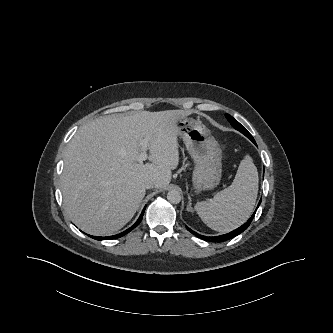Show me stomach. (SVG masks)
<instances>
[{"mask_svg": "<svg viewBox=\"0 0 333 333\" xmlns=\"http://www.w3.org/2000/svg\"><path fill=\"white\" fill-rule=\"evenodd\" d=\"M177 127L178 135L183 139L195 164L194 189L201 192L215 188L222 175L219 143L200 120L184 117L178 120Z\"/></svg>", "mask_w": 333, "mask_h": 333, "instance_id": "1", "label": "stomach"}]
</instances>
